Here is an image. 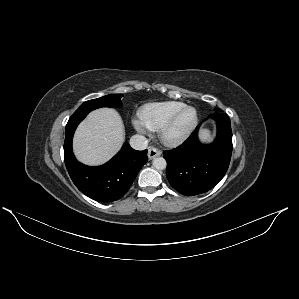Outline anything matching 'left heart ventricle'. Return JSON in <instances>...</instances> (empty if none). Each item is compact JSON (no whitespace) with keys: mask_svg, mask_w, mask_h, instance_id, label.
<instances>
[{"mask_svg":"<svg viewBox=\"0 0 299 299\" xmlns=\"http://www.w3.org/2000/svg\"><path fill=\"white\" fill-rule=\"evenodd\" d=\"M194 119V112L192 110L186 111L178 120L175 131L181 132L184 129H186L193 121Z\"/></svg>","mask_w":299,"mask_h":299,"instance_id":"b2bd125f","label":"left heart ventricle"}]
</instances>
